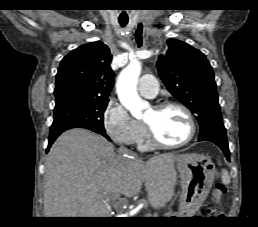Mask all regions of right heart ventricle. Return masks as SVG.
<instances>
[{"label": "right heart ventricle", "mask_w": 258, "mask_h": 227, "mask_svg": "<svg viewBox=\"0 0 258 227\" xmlns=\"http://www.w3.org/2000/svg\"><path fill=\"white\" fill-rule=\"evenodd\" d=\"M138 146L141 150H149L153 147L149 137L146 134V131L144 132L142 138L139 140Z\"/></svg>", "instance_id": "obj_1"}]
</instances>
